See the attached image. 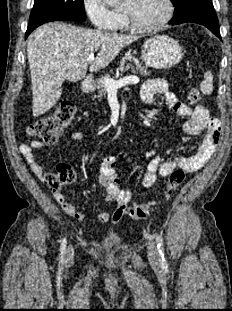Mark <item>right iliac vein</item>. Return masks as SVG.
<instances>
[{
  "instance_id": "obj_1",
  "label": "right iliac vein",
  "mask_w": 232,
  "mask_h": 311,
  "mask_svg": "<svg viewBox=\"0 0 232 311\" xmlns=\"http://www.w3.org/2000/svg\"><path fill=\"white\" fill-rule=\"evenodd\" d=\"M73 258V248L70 247L68 249V260L70 261Z\"/></svg>"
}]
</instances>
